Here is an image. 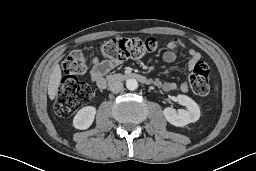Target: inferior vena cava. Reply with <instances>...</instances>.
<instances>
[{
	"mask_svg": "<svg viewBox=\"0 0 256 171\" xmlns=\"http://www.w3.org/2000/svg\"><path fill=\"white\" fill-rule=\"evenodd\" d=\"M109 89L114 93H118L123 89V83L121 81H113L110 83Z\"/></svg>",
	"mask_w": 256,
	"mask_h": 171,
	"instance_id": "inferior-vena-cava-1",
	"label": "inferior vena cava"
}]
</instances>
